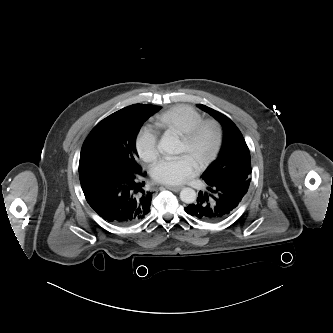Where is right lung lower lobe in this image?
Instances as JSON below:
<instances>
[{
  "mask_svg": "<svg viewBox=\"0 0 333 333\" xmlns=\"http://www.w3.org/2000/svg\"><path fill=\"white\" fill-rule=\"evenodd\" d=\"M139 175L96 170L79 174L88 204L104 220L117 225H133L150 212L153 193L142 188Z\"/></svg>",
  "mask_w": 333,
  "mask_h": 333,
  "instance_id": "1",
  "label": "right lung lower lobe"
}]
</instances>
